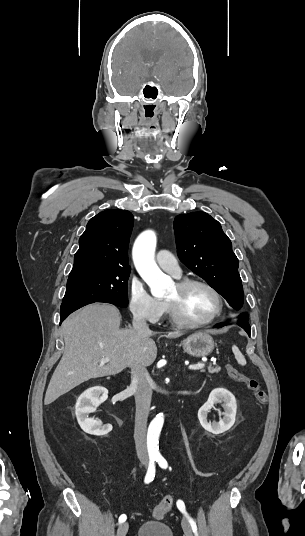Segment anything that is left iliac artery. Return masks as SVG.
<instances>
[{"instance_id": "left-iliac-artery-1", "label": "left iliac artery", "mask_w": 305, "mask_h": 536, "mask_svg": "<svg viewBox=\"0 0 305 536\" xmlns=\"http://www.w3.org/2000/svg\"><path fill=\"white\" fill-rule=\"evenodd\" d=\"M156 461L158 462V464H159V466H160L161 468H167V466H168V465H167V461L164 459V457H162V456H157ZM177 507L180 509L181 512H183V513H185V514L187 515V513L185 512V505H184L183 501L178 500V501H177ZM189 522H190V524H191V527H192L193 532L195 533L196 536H198V535H197V527H196V523H195L191 518H189Z\"/></svg>"}]
</instances>
